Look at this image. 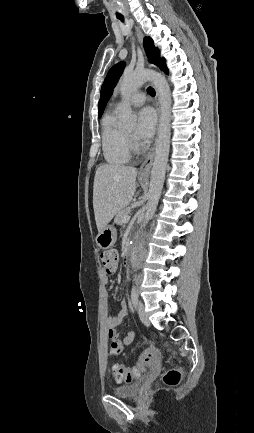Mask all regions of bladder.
I'll return each instance as SVG.
<instances>
[{"mask_svg":"<svg viewBox=\"0 0 254 433\" xmlns=\"http://www.w3.org/2000/svg\"><path fill=\"white\" fill-rule=\"evenodd\" d=\"M139 389L140 383L134 382L113 388V394L122 398H134L137 396Z\"/></svg>","mask_w":254,"mask_h":433,"instance_id":"bladder-1","label":"bladder"}]
</instances>
